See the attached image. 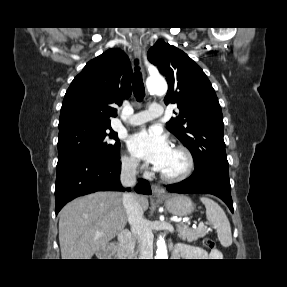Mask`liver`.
Returning a JSON list of instances; mask_svg holds the SVG:
<instances>
[{
	"label": "liver",
	"instance_id": "obj_1",
	"mask_svg": "<svg viewBox=\"0 0 287 287\" xmlns=\"http://www.w3.org/2000/svg\"><path fill=\"white\" fill-rule=\"evenodd\" d=\"M143 210L148 199L137 195ZM59 242L62 259H91L127 224L123 195L96 192L68 203L59 214Z\"/></svg>",
	"mask_w": 287,
	"mask_h": 287
}]
</instances>
